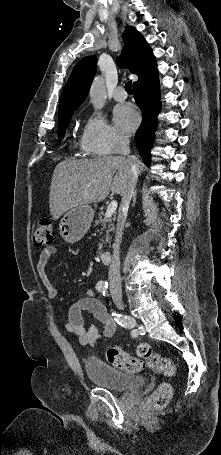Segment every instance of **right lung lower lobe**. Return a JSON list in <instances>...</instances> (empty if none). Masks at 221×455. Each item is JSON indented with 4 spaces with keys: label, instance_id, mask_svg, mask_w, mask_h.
<instances>
[{
    "label": "right lung lower lobe",
    "instance_id": "1",
    "mask_svg": "<svg viewBox=\"0 0 221 455\" xmlns=\"http://www.w3.org/2000/svg\"><path fill=\"white\" fill-rule=\"evenodd\" d=\"M133 88L134 99L142 111V123L135 134V141L143 162L149 166L151 161L150 150L157 126V115L161 109L155 59L145 68L138 81L133 84Z\"/></svg>",
    "mask_w": 221,
    "mask_h": 455
}]
</instances>
